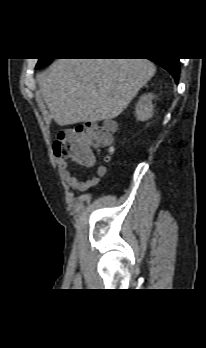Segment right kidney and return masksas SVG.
Instances as JSON below:
<instances>
[{
  "label": "right kidney",
  "mask_w": 206,
  "mask_h": 348,
  "mask_svg": "<svg viewBox=\"0 0 206 348\" xmlns=\"http://www.w3.org/2000/svg\"><path fill=\"white\" fill-rule=\"evenodd\" d=\"M154 99V94L148 93L140 97L136 108L135 116L139 121H146L150 119L153 115L154 105L152 100Z\"/></svg>",
  "instance_id": "1"
}]
</instances>
